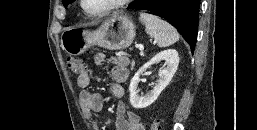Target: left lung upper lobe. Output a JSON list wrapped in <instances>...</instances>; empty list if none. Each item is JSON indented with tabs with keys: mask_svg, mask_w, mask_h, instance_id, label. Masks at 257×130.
Listing matches in <instances>:
<instances>
[{
	"mask_svg": "<svg viewBox=\"0 0 257 130\" xmlns=\"http://www.w3.org/2000/svg\"><path fill=\"white\" fill-rule=\"evenodd\" d=\"M139 1H140V0H135V1L132 2L129 6L135 5V4H137ZM70 2H72V0H63V4H64L65 7H67Z\"/></svg>",
	"mask_w": 257,
	"mask_h": 130,
	"instance_id": "left-lung-upper-lobe-1",
	"label": "left lung upper lobe"
}]
</instances>
